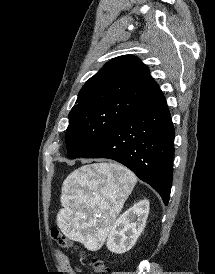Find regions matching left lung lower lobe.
<instances>
[{
  "instance_id": "left-lung-lower-lobe-1",
  "label": "left lung lower lobe",
  "mask_w": 215,
  "mask_h": 274,
  "mask_svg": "<svg viewBox=\"0 0 215 274\" xmlns=\"http://www.w3.org/2000/svg\"><path fill=\"white\" fill-rule=\"evenodd\" d=\"M174 127L163 94L120 122L82 158L115 160L151 185L167 205L173 177Z\"/></svg>"
}]
</instances>
